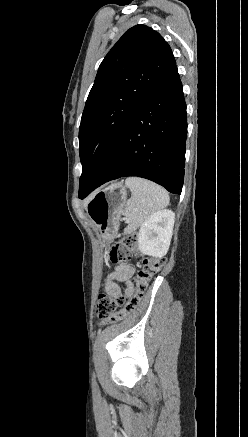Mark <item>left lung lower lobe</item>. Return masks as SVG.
Wrapping results in <instances>:
<instances>
[{
	"instance_id": "obj_1",
	"label": "left lung lower lobe",
	"mask_w": 248,
	"mask_h": 437,
	"mask_svg": "<svg viewBox=\"0 0 248 437\" xmlns=\"http://www.w3.org/2000/svg\"><path fill=\"white\" fill-rule=\"evenodd\" d=\"M186 136V104L175 64L132 114L106 164L80 198L122 176L146 178L181 194Z\"/></svg>"
}]
</instances>
